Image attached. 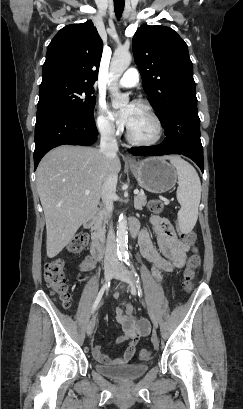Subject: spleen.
I'll list each match as a JSON object with an SVG mask.
<instances>
[{"label":"spleen","mask_w":243,"mask_h":409,"mask_svg":"<svg viewBox=\"0 0 243 409\" xmlns=\"http://www.w3.org/2000/svg\"><path fill=\"white\" fill-rule=\"evenodd\" d=\"M178 175L177 200L181 205L178 212L179 227L182 232H190L198 218L201 198V182L192 165L179 156L169 157Z\"/></svg>","instance_id":"1"}]
</instances>
